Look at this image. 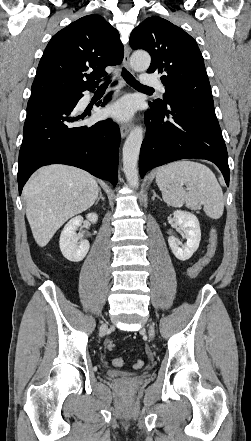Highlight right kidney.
I'll return each mask as SVG.
<instances>
[{"label": "right kidney", "instance_id": "1", "mask_svg": "<svg viewBox=\"0 0 251 441\" xmlns=\"http://www.w3.org/2000/svg\"><path fill=\"white\" fill-rule=\"evenodd\" d=\"M87 220L95 224L98 220L96 213H89L86 216ZM83 222L82 216L72 218L63 228L60 235V250L63 256L71 262L82 261L89 251L90 244L88 240L79 241L76 230Z\"/></svg>", "mask_w": 251, "mask_h": 441}]
</instances>
